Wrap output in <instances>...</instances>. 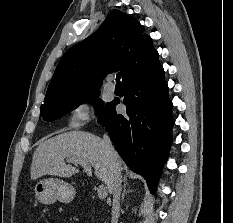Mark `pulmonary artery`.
<instances>
[{"mask_svg":"<svg viewBox=\"0 0 233 223\" xmlns=\"http://www.w3.org/2000/svg\"><path fill=\"white\" fill-rule=\"evenodd\" d=\"M112 79H113V77H109V78H108V81H109V82H108L107 85H106L107 90H108L109 92H111V93H113V92L115 91V85L111 82Z\"/></svg>","mask_w":233,"mask_h":223,"instance_id":"1","label":"pulmonary artery"}]
</instances>
